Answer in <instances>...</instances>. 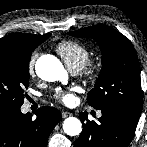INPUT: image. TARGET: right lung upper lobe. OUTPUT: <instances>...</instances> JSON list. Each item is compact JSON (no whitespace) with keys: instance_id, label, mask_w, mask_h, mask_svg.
Wrapping results in <instances>:
<instances>
[{"instance_id":"right-lung-upper-lobe-1","label":"right lung upper lobe","mask_w":147,"mask_h":147,"mask_svg":"<svg viewBox=\"0 0 147 147\" xmlns=\"http://www.w3.org/2000/svg\"><path fill=\"white\" fill-rule=\"evenodd\" d=\"M50 34L35 35L25 33H12L0 39V47H13V48H28L38 46L45 41Z\"/></svg>"}]
</instances>
